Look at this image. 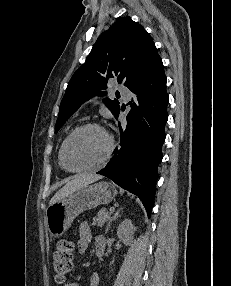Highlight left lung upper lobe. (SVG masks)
<instances>
[{
	"label": "left lung upper lobe",
	"instance_id": "5c2ea615",
	"mask_svg": "<svg viewBox=\"0 0 231 286\" xmlns=\"http://www.w3.org/2000/svg\"><path fill=\"white\" fill-rule=\"evenodd\" d=\"M160 56L147 31L132 19L120 17L97 39L85 63L75 72L62 99L55 133L86 100L107 88L110 78L129 87ZM116 117L120 111L117 100L104 99Z\"/></svg>",
	"mask_w": 231,
	"mask_h": 286
}]
</instances>
